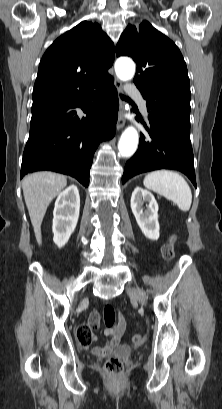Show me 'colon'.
I'll return each instance as SVG.
<instances>
[{
  "label": "colon",
  "instance_id": "obj_1",
  "mask_svg": "<svg viewBox=\"0 0 222 409\" xmlns=\"http://www.w3.org/2000/svg\"><path fill=\"white\" fill-rule=\"evenodd\" d=\"M175 238H172L168 243L162 247V256L164 260L171 261L174 257ZM103 318L107 327H112L115 323V311L112 305L106 304L103 309ZM76 336L79 342L83 344H89L91 342L92 333L89 331L87 325H80L76 330ZM144 338L141 335H134L133 342L135 344H142ZM104 369L108 376L114 380L118 381L124 371V363L119 357H110L104 363Z\"/></svg>",
  "mask_w": 222,
  "mask_h": 409
}]
</instances>
